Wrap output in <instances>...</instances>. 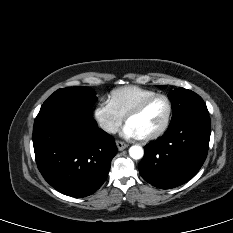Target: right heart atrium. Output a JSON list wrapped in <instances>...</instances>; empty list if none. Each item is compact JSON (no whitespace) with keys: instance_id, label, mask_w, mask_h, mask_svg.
<instances>
[{"instance_id":"obj_1","label":"right heart atrium","mask_w":233,"mask_h":233,"mask_svg":"<svg viewBox=\"0 0 233 233\" xmlns=\"http://www.w3.org/2000/svg\"><path fill=\"white\" fill-rule=\"evenodd\" d=\"M94 118L102 130L108 134L116 133L123 122V117L113 108L109 101L98 103L94 109Z\"/></svg>"}]
</instances>
